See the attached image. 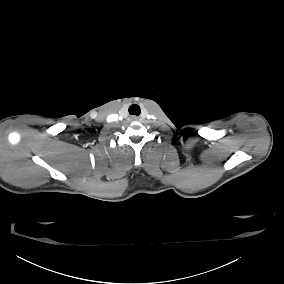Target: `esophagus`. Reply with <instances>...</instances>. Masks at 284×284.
Returning a JSON list of instances; mask_svg holds the SVG:
<instances>
[{"instance_id":"1","label":"esophagus","mask_w":284,"mask_h":284,"mask_svg":"<svg viewBox=\"0 0 284 284\" xmlns=\"http://www.w3.org/2000/svg\"><path fill=\"white\" fill-rule=\"evenodd\" d=\"M130 119H131L132 121H137V120H138V117L135 116V115H132V116H130Z\"/></svg>"}]
</instances>
